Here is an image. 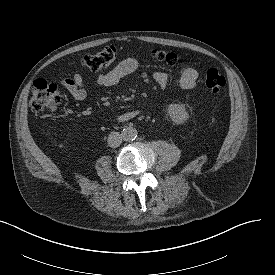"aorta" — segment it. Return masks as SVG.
Listing matches in <instances>:
<instances>
[{"mask_svg": "<svg viewBox=\"0 0 275 275\" xmlns=\"http://www.w3.org/2000/svg\"><path fill=\"white\" fill-rule=\"evenodd\" d=\"M121 135L124 141L130 142L137 137V130L133 127H126L122 130Z\"/></svg>", "mask_w": 275, "mask_h": 275, "instance_id": "obj_1", "label": "aorta"}]
</instances>
